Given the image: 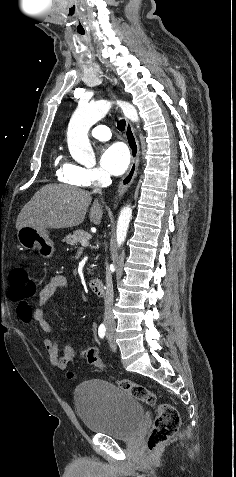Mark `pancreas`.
<instances>
[{"instance_id":"obj_1","label":"pancreas","mask_w":236,"mask_h":477,"mask_svg":"<svg viewBox=\"0 0 236 477\" xmlns=\"http://www.w3.org/2000/svg\"><path fill=\"white\" fill-rule=\"evenodd\" d=\"M91 238V235L87 233L84 230H76L73 234H69L65 237L64 241H66L67 244L70 245H75L82 240H89Z\"/></svg>"}]
</instances>
